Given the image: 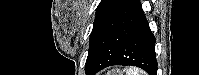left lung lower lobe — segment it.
I'll list each match as a JSON object with an SVG mask.
<instances>
[{
    "instance_id": "left-lung-lower-lobe-1",
    "label": "left lung lower lobe",
    "mask_w": 199,
    "mask_h": 75,
    "mask_svg": "<svg viewBox=\"0 0 199 75\" xmlns=\"http://www.w3.org/2000/svg\"><path fill=\"white\" fill-rule=\"evenodd\" d=\"M111 65H133L157 74L155 37L139 0H122L110 16L85 65L86 75Z\"/></svg>"
}]
</instances>
